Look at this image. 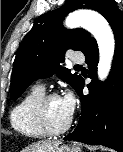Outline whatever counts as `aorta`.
I'll return each instance as SVG.
<instances>
[{
    "label": "aorta",
    "mask_w": 123,
    "mask_h": 152,
    "mask_svg": "<svg viewBox=\"0 0 123 152\" xmlns=\"http://www.w3.org/2000/svg\"><path fill=\"white\" fill-rule=\"evenodd\" d=\"M67 28L82 27L90 32L97 41L99 48L98 78H107L114 56L115 39L106 19L94 11L81 10L69 14L65 20Z\"/></svg>",
    "instance_id": "obj_1"
}]
</instances>
